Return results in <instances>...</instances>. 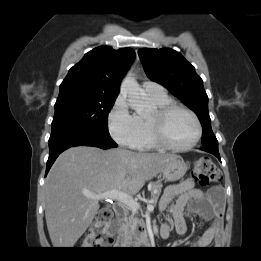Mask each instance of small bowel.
<instances>
[{
  "instance_id": "small-bowel-1",
  "label": "small bowel",
  "mask_w": 261,
  "mask_h": 261,
  "mask_svg": "<svg viewBox=\"0 0 261 261\" xmlns=\"http://www.w3.org/2000/svg\"><path fill=\"white\" fill-rule=\"evenodd\" d=\"M190 202V213L199 215L211 224L205 233L194 243V247H207L214 243L222 229V220L225 207V193L220 187H212L202 191L194 187L191 179H185L178 184L169 186L161 200L160 210L170 208L169 223L164 224L161 233L167 236L172 226L183 236L186 234V224L183 210Z\"/></svg>"
}]
</instances>
